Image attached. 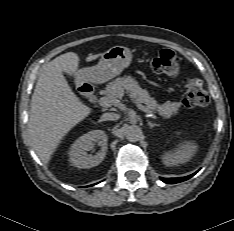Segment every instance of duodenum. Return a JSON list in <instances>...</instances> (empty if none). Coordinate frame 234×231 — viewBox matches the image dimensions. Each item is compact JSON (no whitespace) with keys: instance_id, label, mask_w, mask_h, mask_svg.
<instances>
[{"instance_id":"duodenum-1","label":"duodenum","mask_w":234,"mask_h":231,"mask_svg":"<svg viewBox=\"0 0 234 231\" xmlns=\"http://www.w3.org/2000/svg\"><path fill=\"white\" fill-rule=\"evenodd\" d=\"M78 89L84 93L88 98L94 97V88L91 84L86 82H80L78 84Z\"/></svg>"}]
</instances>
